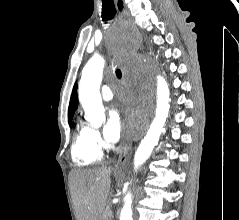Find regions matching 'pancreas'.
<instances>
[{
    "mask_svg": "<svg viewBox=\"0 0 239 220\" xmlns=\"http://www.w3.org/2000/svg\"><path fill=\"white\" fill-rule=\"evenodd\" d=\"M111 210H110V207L107 206L105 208V210L103 211L102 213V220H110V216H111Z\"/></svg>",
    "mask_w": 239,
    "mask_h": 220,
    "instance_id": "pancreas-1",
    "label": "pancreas"
}]
</instances>
